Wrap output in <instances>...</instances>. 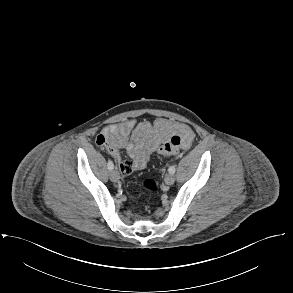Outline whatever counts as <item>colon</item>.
Segmentation results:
<instances>
[{"instance_id":"1","label":"colon","mask_w":293,"mask_h":293,"mask_svg":"<svg viewBox=\"0 0 293 293\" xmlns=\"http://www.w3.org/2000/svg\"><path fill=\"white\" fill-rule=\"evenodd\" d=\"M181 148V137L179 135H173L158 147V153L165 156L175 155ZM143 187L152 193H158L160 190L159 184L152 178H146L143 181Z\"/></svg>"}]
</instances>
